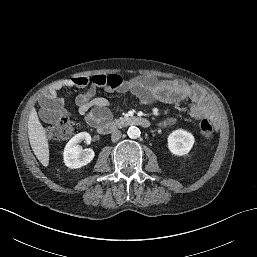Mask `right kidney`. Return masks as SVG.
<instances>
[{
  "label": "right kidney",
  "instance_id": "obj_1",
  "mask_svg": "<svg viewBox=\"0 0 257 257\" xmlns=\"http://www.w3.org/2000/svg\"><path fill=\"white\" fill-rule=\"evenodd\" d=\"M81 141L91 143V136L87 132H81L72 137L66 144L63 152L64 163L71 169H77L90 163L94 158L92 149H82L78 143Z\"/></svg>",
  "mask_w": 257,
  "mask_h": 257
}]
</instances>
